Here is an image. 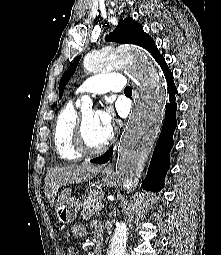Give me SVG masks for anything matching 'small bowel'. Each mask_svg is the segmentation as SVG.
I'll use <instances>...</instances> for the list:
<instances>
[{
	"label": "small bowel",
	"instance_id": "c3829d8e",
	"mask_svg": "<svg viewBox=\"0 0 221 255\" xmlns=\"http://www.w3.org/2000/svg\"><path fill=\"white\" fill-rule=\"evenodd\" d=\"M93 232L96 238H101L102 228L99 225L95 224L93 226ZM71 233L75 237L82 238L87 234V230L82 223H76L72 226ZM67 255H76L75 250L73 248H69L67 250Z\"/></svg>",
	"mask_w": 221,
	"mask_h": 255
}]
</instances>
